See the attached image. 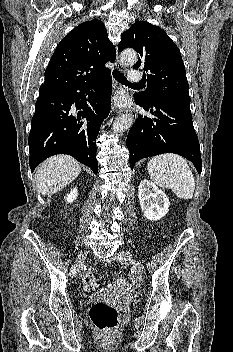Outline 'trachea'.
Wrapping results in <instances>:
<instances>
[{
	"instance_id": "1",
	"label": "trachea",
	"mask_w": 233,
	"mask_h": 352,
	"mask_svg": "<svg viewBox=\"0 0 233 352\" xmlns=\"http://www.w3.org/2000/svg\"><path fill=\"white\" fill-rule=\"evenodd\" d=\"M113 77L120 83L122 84H130V85H139L137 83H131L127 80V78L122 74L120 73L118 70H114L113 71Z\"/></svg>"
}]
</instances>
